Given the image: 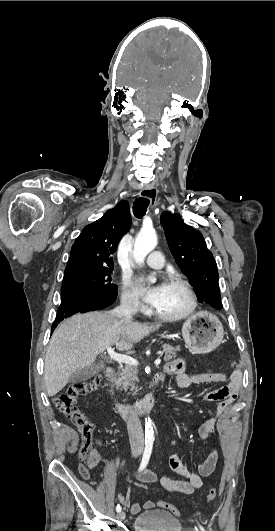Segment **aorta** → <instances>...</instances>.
Masks as SVG:
<instances>
[{"label": "aorta", "mask_w": 275, "mask_h": 531, "mask_svg": "<svg viewBox=\"0 0 275 531\" xmlns=\"http://www.w3.org/2000/svg\"><path fill=\"white\" fill-rule=\"evenodd\" d=\"M157 247V235L153 229H146V231H140L136 237L134 243L133 259L136 263H144L147 255L154 251ZM156 279H152L151 283H155ZM145 431L149 437H154L153 423L150 417L145 419Z\"/></svg>", "instance_id": "762f6f07"}]
</instances>
